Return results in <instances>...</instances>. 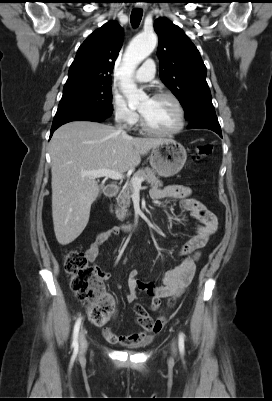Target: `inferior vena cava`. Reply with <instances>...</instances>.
I'll return each mask as SVG.
<instances>
[{"mask_svg": "<svg viewBox=\"0 0 272 401\" xmlns=\"http://www.w3.org/2000/svg\"><path fill=\"white\" fill-rule=\"evenodd\" d=\"M119 120H120V117H119V116L116 117V122H119ZM117 130H118L119 132L123 133V134H126V132L122 129L121 126H117Z\"/></svg>", "mask_w": 272, "mask_h": 401, "instance_id": "602c4592", "label": "inferior vena cava"}]
</instances>
